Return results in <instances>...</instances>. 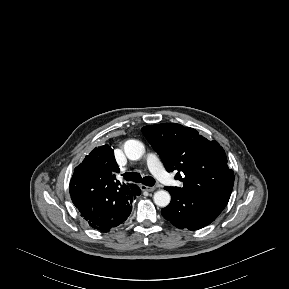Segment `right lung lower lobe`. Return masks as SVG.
Returning <instances> with one entry per match:
<instances>
[{
  "instance_id": "right-lung-lower-lobe-1",
  "label": "right lung lower lobe",
  "mask_w": 289,
  "mask_h": 289,
  "mask_svg": "<svg viewBox=\"0 0 289 289\" xmlns=\"http://www.w3.org/2000/svg\"><path fill=\"white\" fill-rule=\"evenodd\" d=\"M95 184L94 179L74 174L70 181V196L76 208L92 228L101 232H109L111 228L120 225L127 219L132 210V201L141 194V190L132 184L119 196L112 197L105 192L104 188L98 191L99 194L96 197L92 198L89 191L95 192ZM102 198L107 199L103 200Z\"/></svg>"
}]
</instances>
